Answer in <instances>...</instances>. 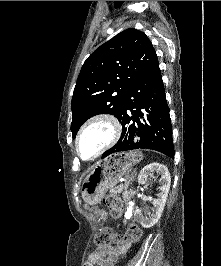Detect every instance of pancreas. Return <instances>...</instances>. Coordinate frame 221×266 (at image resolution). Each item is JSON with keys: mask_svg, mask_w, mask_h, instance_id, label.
<instances>
[{"mask_svg": "<svg viewBox=\"0 0 221 266\" xmlns=\"http://www.w3.org/2000/svg\"><path fill=\"white\" fill-rule=\"evenodd\" d=\"M123 189H124V186L119 185V186L112 188L110 192L114 194H120L123 191Z\"/></svg>", "mask_w": 221, "mask_h": 266, "instance_id": "1", "label": "pancreas"}]
</instances>
